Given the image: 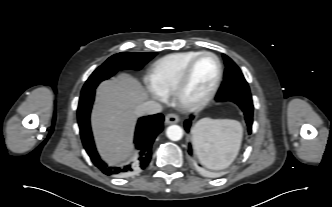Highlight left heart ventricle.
Segmentation results:
<instances>
[{"label":"left heart ventricle","instance_id":"b2bd125f","mask_svg":"<svg viewBox=\"0 0 332 207\" xmlns=\"http://www.w3.org/2000/svg\"><path fill=\"white\" fill-rule=\"evenodd\" d=\"M217 75V63L211 56L201 58L195 65L186 97L194 100L203 97L212 87Z\"/></svg>","mask_w":332,"mask_h":207}]
</instances>
